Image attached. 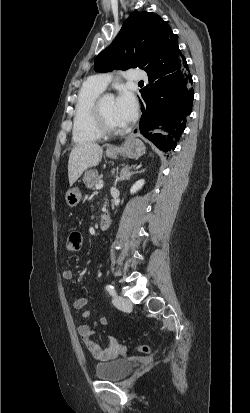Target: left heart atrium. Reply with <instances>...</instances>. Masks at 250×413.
<instances>
[{
	"instance_id": "39dd6f15",
	"label": "left heart atrium",
	"mask_w": 250,
	"mask_h": 413,
	"mask_svg": "<svg viewBox=\"0 0 250 413\" xmlns=\"http://www.w3.org/2000/svg\"><path fill=\"white\" fill-rule=\"evenodd\" d=\"M115 114L121 125H127L137 117L138 104L130 91L124 89L118 94L115 100Z\"/></svg>"
}]
</instances>
